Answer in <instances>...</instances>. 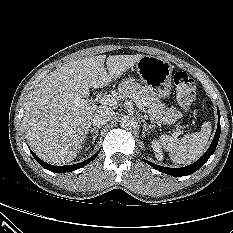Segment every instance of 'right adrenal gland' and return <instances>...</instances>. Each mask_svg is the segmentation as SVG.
<instances>
[{
    "instance_id": "1",
    "label": "right adrenal gland",
    "mask_w": 233,
    "mask_h": 233,
    "mask_svg": "<svg viewBox=\"0 0 233 233\" xmlns=\"http://www.w3.org/2000/svg\"><path fill=\"white\" fill-rule=\"evenodd\" d=\"M101 127H95V128H90L89 129V132L90 133H95V135H94V137H93V139H92V144L95 142V140H96V138H97V136H98V133H99V129H100Z\"/></svg>"
}]
</instances>
